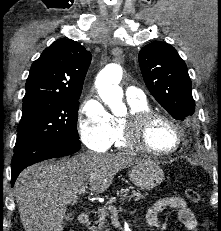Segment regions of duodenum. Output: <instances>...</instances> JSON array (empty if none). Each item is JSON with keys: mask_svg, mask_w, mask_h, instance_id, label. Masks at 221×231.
Listing matches in <instances>:
<instances>
[{"mask_svg": "<svg viewBox=\"0 0 221 231\" xmlns=\"http://www.w3.org/2000/svg\"><path fill=\"white\" fill-rule=\"evenodd\" d=\"M89 219H90L89 214L86 212H82L78 216V221L80 224H87L89 222Z\"/></svg>", "mask_w": 221, "mask_h": 231, "instance_id": "obj_1", "label": "duodenum"}]
</instances>
